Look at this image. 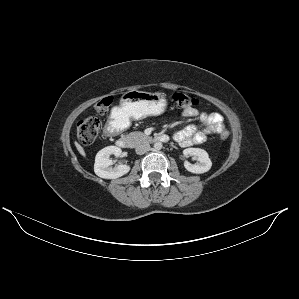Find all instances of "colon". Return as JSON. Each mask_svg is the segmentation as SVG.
Listing matches in <instances>:
<instances>
[{"mask_svg":"<svg viewBox=\"0 0 299 299\" xmlns=\"http://www.w3.org/2000/svg\"><path fill=\"white\" fill-rule=\"evenodd\" d=\"M173 102L180 108H191L197 105V100L185 93L176 92L173 95ZM112 104L111 97H105L99 100L94 105V110L98 115H105ZM100 131V120L96 116H89L79 121L77 125V136L83 144L93 143ZM229 136L227 130L222 131L219 134L220 139L225 140Z\"/></svg>","mask_w":299,"mask_h":299,"instance_id":"obj_1","label":"colon"}]
</instances>
